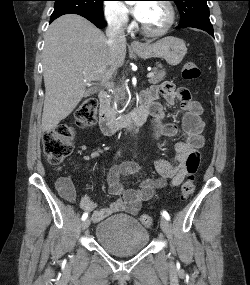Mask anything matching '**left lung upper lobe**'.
I'll return each mask as SVG.
<instances>
[{
  "mask_svg": "<svg viewBox=\"0 0 250 285\" xmlns=\"http://www.w3.org/2000/svg\"><path fill=\"white\" fill-rule=\"evenodd\" d=\"M176 3L181 21L177 28H213L209 20V0H172Z\"/></svg>",
  "mask_w": 250,
  "mask_h": 285,
  "instance_id": "obj_1",
  "label": "left lung upper lobe"
}]
</instances>
